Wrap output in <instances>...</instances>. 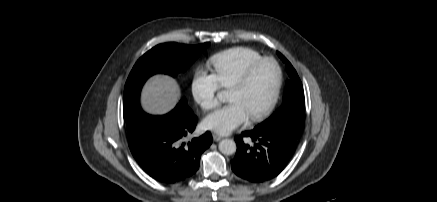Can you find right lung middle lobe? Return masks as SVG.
<instances>
[{
	"label": "right lung middle lobe",
	"instance_id": "dd1d6c3e",
	"mask_svg": "<svg viewBox=\"0 0 437 202\" xmlns=\"http://www.w3.org/2000/svg\"><path fill=\"white\" fill-rule=\"evenodd\" d=\"M209 45L210 43L195 46L178 43L159 44L136 62L126 81L123 95L124 120L128 134L134 132L139 118L144 114L139 98L145 81L156 73L176 77L178 73L185 72ZM176 107L190 109L185 98Z\"/></svg>",
	"mask_w": 437,
	"mask_h": 202
}]
</instances>
